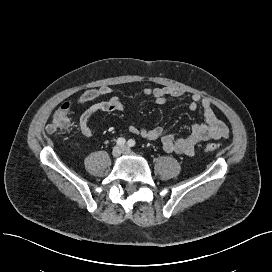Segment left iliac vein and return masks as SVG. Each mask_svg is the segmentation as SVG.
<instances>
[{"mask_svg":"<svg viewBox=\"0 0 272 272\" xmlns=\"http://www.w3.org/2000/svg\"><path fill=\"white\" fill-rule=\"evenodd\" d=\"M122 149H123L124 154H130L131 153V150L128 147L124 146Z\"/></svg>","mask_w":272,"mask_h":272,"instance_id":"1","label":"left iliac vein"}]
</instances>
